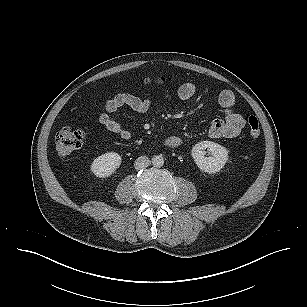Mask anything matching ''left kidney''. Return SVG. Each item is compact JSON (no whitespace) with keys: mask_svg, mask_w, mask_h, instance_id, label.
I'll return each instance as SVG.
<instances>
[{"mask_svg":"<svg viewBox=\"0 0 307 307\" xmlns=\"http://www.w3.org/2000/svg\"><path fill=\"white\" fill-rule=\"evenodd\" d=\"M210 156L206 157V153ZM192 157L203 172L214 174L219 172L228 161V150L212 141H201L192 148Z\"/></svg>","mask_w":307,"mask_h":307,"instance_id":"obj_1","label":"left kidney"}]
</instances>
